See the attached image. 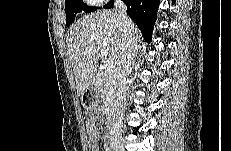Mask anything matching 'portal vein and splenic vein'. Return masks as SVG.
<instances>
[{"label":"portal vein and splenic vein","instance_id":"1","mask_svg":"<svg viewBox=\"0 0 231 151\" xmlns=\"http://www.w3.org/2000/svg\"><path fill=\"white\" fill-rule=\"evenodd\" d=\"M106 53H107V50L106 49H101V54L104 56V55H106ZM103 68H104V70L106 71V72H112L113 71V69H114V64H113V62L111 61V60H106L105 62H104V65H103Z\"/></svg>","mask_w":231,"mask_h":151}]
</instances>
